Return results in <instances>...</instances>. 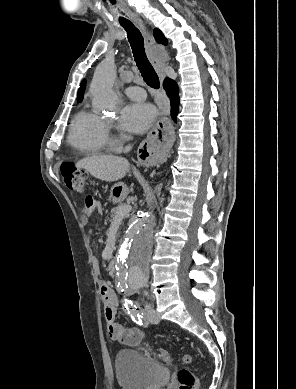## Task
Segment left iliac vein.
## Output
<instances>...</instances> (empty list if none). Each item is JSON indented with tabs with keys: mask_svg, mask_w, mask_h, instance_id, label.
I'll return each instance as SVG.
<instances>
[{
	"mask_svg": "<svg viewBox=\"0 0 296 389\" xmlns=\"http://www.w3.org/2000/svg\"><path fill=\"white\" fill-rule=\"evenodd\" d=\"M145 314H146V319L148 322L153 323V324L159 323L160 318L151 305H149V304L146 305Z\"/></svg>",
	"mask_w": 296,
	"mask_h": 389,
	"instance_id": "1",
	"label": "left iliac vein"
}]
</instances>
